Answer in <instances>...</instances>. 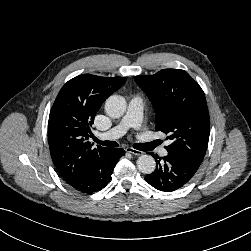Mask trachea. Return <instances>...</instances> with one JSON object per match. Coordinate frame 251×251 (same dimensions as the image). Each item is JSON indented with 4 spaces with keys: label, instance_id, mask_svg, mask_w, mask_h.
<instances>
[{
    "label": "trachea",
    "instance_id": "1",
    "mask_svg": "<svg viewBox=\"0 0 251 251\" xmlns=\"http://www.w3.org/2000/svg\"><path fill=\"white\" fill-rule=\"evenodd\" d=\"M95 142L97 144L107 146V147H118L119 146V144L115 141H108V140L101 141V140L95 139ZM158 143H159L158 141L152 142V143H145V144L138 143V144L134 145V148L141 150V151H148V150H151L153 148V146Z\"/></svg>",
    "mask_w": 251,
    "mask_h": 251
}]
</instances>
